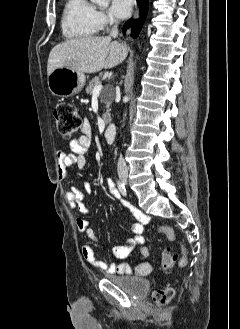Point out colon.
<instances>
[{"label":"colon","instance_id":"5ec220e1","mask_svg":"<svg viewBox=\"0 0 240 329\" xmlns=\"http://www.w3.org/2000/svg\"><path fill=\"white\" fill-rule=\"evenodd\" d=\"M54 116L57 121L59 133L65 137L70 138L82 126L83 120L77 108L70 103H59L54 110ZM159 234L164 235L168 240L176 238L175 232L168 226L161 225L157 228ZM182 254L178 256L170 249L163 252L161 266L164 270L170 269L178 262L179 266H184L187 262L186 251L181 246ZM174 295V291L170 287L157 289L153 292L152 298L158 304H165L169 302Z\"/></svg>","mask_w":240,"mask_h":329}]
</instances>
